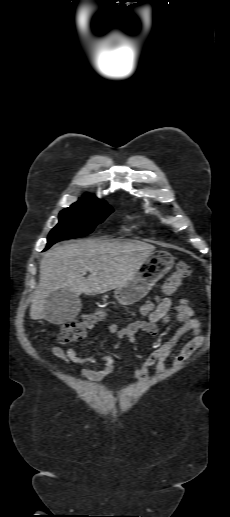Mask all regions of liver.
<instances>
[{"instance_id": "6515ba94", "label": "liver", "mask_w": 230, "mask_h": 517, "mask_svg": "<svg viewBox=\"0 0 230 517\" xmlns=\"http://www.w3.org/2000/svg\"><path fill=\"white\" fill-rule=\"evenodd\" d=\"M154 250V246L140 241L91 239L54 247L41 260L30 318L46 319L44 304L54 291L96 295L124 285ZM85 268L90 269L88 278L82 275Z\"/></svg>"}]
</instances>
